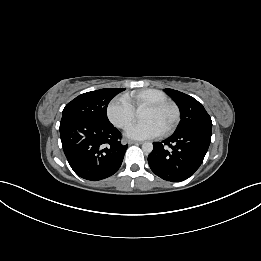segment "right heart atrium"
I'll use <instances>...</instances> for the list:
<instances>
[{
  "mask_svg": "<svg viewBox=\"0 0 261 261\" xmlns=\"http://www.w3.org/2000/svg\"><path fill=\"white\" fill-rule=\"evenodd\" d=\"M135 109L125 96L113 98L107 108L109 121L119 129H126L135 119Z\"/></svg>",
  "mask_w": 261,
  "mask_h": 261,
  "instance_id": "obj_1",
  "label": "right heart atrium"
}]
</instances>
